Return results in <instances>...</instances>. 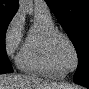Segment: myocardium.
Instances as JSON below:
<instances>
[{
    "label": "myocardium",
    "mask_w": 89,
    "mask_h": 89,
    "mask_svg": "<svg viewBox=\"0 0 89 89\" xmlns=\"http://www.w3.org/2000/svg\"><path fill=\"white\" fill-rule=\"evenodd\" d=\"M60 40H64L65 42H67V44L71 47V49L74 53L75 65L73 68L64 69L60 63V60H59V57L57 54V43ZM47 47H48L49 55H50L51 59L53 60L55 66L58 69H60L64 74L75 71L77 69V67L79 65V54H78L75 44L73 43L71 38L66 33H64L60 30H57V29L55 31L51 32L47 37Z\"/></svg>",
    "instance_id": "obj_1"
}]
</instances>
